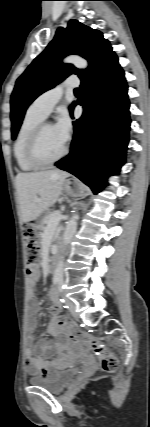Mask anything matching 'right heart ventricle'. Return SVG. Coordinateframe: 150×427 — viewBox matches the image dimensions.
Segmentation results:
<instances>
[{
  "instance_id": "e07e8e85",
  "label": "right heart ventricle",
  "mask_w": 150,
  "mask_h": 427,
  "mask_svg": "<svg viewBox=\"0 0 150 427\" xmlns=\"http://www.w3.org/2000/svg\"><path fill=\"white\" fill-rule=\"evenodd\" d=\"M44 118L29 108L20 124L14 141L13 151L18 167L25 172H30L38 169L33 166L27 159L26 150L30 135L35 127L40 124Z\"/></svg>"
}]
</instances>
